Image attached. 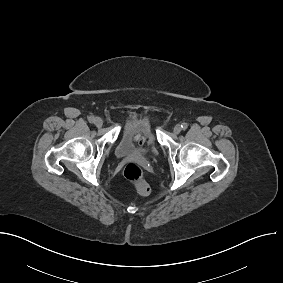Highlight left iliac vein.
<instances>
[{
	"mask_svg": "<svg viewBox=\"0 0 283 283\" xmlns=\"http://www.w3.org/2000/svg\"><path fill=\"white\" fill-rule=\"evenodd\" d=\"M181 130H182V129H181V126H180V125H176V126L174 127V130H173V131H174L175 134H179V133L181 132Z\"/></svg>",
	"mask_w": 283,
	"mask_h": 283,
	"instance_id": "left-iliac-vein-1",
	"label": "left iliac vein"
}]
</instances>
